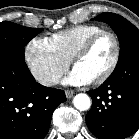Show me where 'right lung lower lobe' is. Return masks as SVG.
Instances as JSON below:
<instances>
[{"label": "right lung lower lobe", "instance_id": "98d812e1", "mask_svg": "<svg viewBox=\"0 0 139 139\" xmlns=\"http://www.w3.org/2000/svg\"><path fill=\"white\" fill-rule=\"evenodd\" d=\"M63 90L37 83L24 56L0 51V139H43Z\"/></svg>", "mask_w": 139, "mask_h": 139}]
</instances>
